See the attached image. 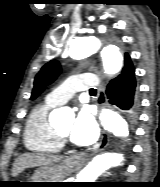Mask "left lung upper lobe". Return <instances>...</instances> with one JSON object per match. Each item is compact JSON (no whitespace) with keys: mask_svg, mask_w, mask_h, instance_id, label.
Returning a JSON list of instances; mask_svg holds the SVG:
<instances>
[{"mask_svg":"<svg viewBox=\"0 0 160 187\" xmlns=\"http://www.w3.org/2000/svg\"><path fill=\"white\" fill-rule=\"evenodd\" d=\"M125 56H129V54L125 53ZM60 71L61 68L57 61H50L44 65L35 77L31 99H35L44 90L46 85L52 83Z\"/></svg>","mask_w":160,"mask_h":187,"instance_id":"obj_1","label":"left lung upper lobe"}]
</instances>
